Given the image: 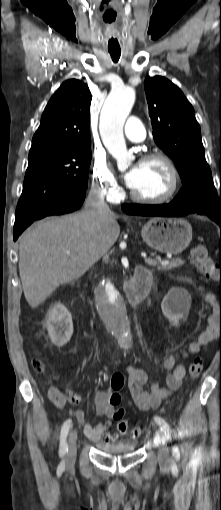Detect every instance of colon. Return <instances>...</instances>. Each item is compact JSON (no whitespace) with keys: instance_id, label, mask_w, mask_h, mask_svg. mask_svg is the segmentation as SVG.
<instances>
[{"instance_id":"obj_1","label":"colon","mask_w":221,"mask_h":510,"mask_svg":"<svg viewBox=\"0 0 221 510\" xmlns=\"http://www.w3.org/2000/svg\"><path fill=\"white\" fill-rule=\"evenodd\" d=\"M189 259L191 263L197 268V270L204 275V277L210 282L218 285L220 290V313H221V261L220 263L215 262L208 254L204 247H195L189 253ZM34 370L38 373L45 372V364L40 358H35L32 361ZM203 370V361L198 358L195 359L189 368V375L192 379L200 376ZM125 378L122 373L115 372L112 374L110 379V386L114 390L111 396V403L118 405L121 401L119 391L124 387ZM49 399L56 407H63L66 402L77 404L80 402V397L74 392H67V394L58 387H52L49 391ZM125 410L118 408L115 412L114 419L118 421V429L127 430L128 421L124 418ZM144 430L141 427H135L132 429V435L136 438L142 436ZM111 438L110 434L104 436L105 442H110L108 439Z\"/></svg>"}]
</instances>
